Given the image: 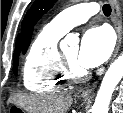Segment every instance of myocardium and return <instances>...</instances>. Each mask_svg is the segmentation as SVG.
<instances>
[{
    "label": "myocardium",
    "instance_id": "1",
    "mask_svg": "<svg viewBox=\"0 0 123 113\" xmlns=\"http://www.w3.org/2000/svg\"><path fill=\"white\" fill-rule=\"evenodd\" d=\"M62 66L68 80H80L86 77L87 72L80 68L77 64L72 63L64 52H61Z\"/></svg>",
    "mask_w": 123,
    "mask_h": 113
}]
</instances>
